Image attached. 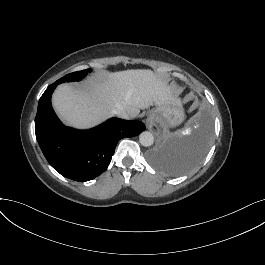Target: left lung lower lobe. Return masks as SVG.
I'll return each instance as SVG.
<instances>
[{
    "mask_svg": "<svg viewBox=\"0 0 265 265\" xmlns=\"http://www.w3.org/2000/svg\"><path fill=\"white\" fill-rule=\"evenodd\" d=\"M211 123L207 116L191 124L183 136L157 145L148 156L150 163L170 176H179L197 166L209 147Z\"/></svg>",
    "mask_w": 265,
    "mask_h": 265,
    "instance_id": "1",
    "label": "left lung lower lobe"
}]
</instances>
